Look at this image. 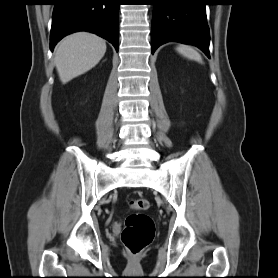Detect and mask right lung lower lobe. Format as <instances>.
<instances>
[{
    "instance_id": "1",
    "label": "right lung lower lobe",
    "mask_w": 278,
    "mask_h": 278,
    "mask_svg": "<svg viewBox=\"0 0 278 278\" xmlns=\"http://www.w3.org/2000/svg\"><path fill=\"white\" fill-rule=\"evenodd\" d=\"M50 49L64 36L89 31L108 40L118 51L119 0H55Z\"/></svg>"
}]
</instances>
